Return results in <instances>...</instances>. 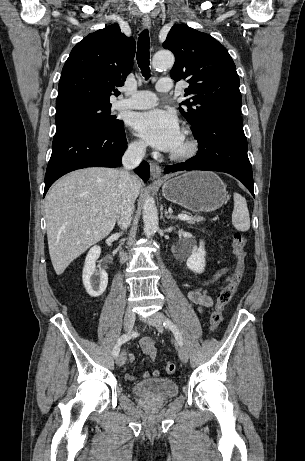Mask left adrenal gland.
<instances>
[{
	"mask_svg": "<svg viewBox=\"0 0 305 461\" xmlns=\"http://www.w3.org/2000/svg\"><path fill=\"white\" fill-rule=\"evenodd\" d=\"M165 216H166L167 219H171V220H172V219H173V220H177V219H178L176 216L172 215L171 213L168 214L167 211H165Z\"/></svg>",
	"mask_w": 305,
	"mask_h": 461,
	"instance_id": "left-adrenal-gland-1",
	"label": "left adrenal gland"
}]
</instances>
